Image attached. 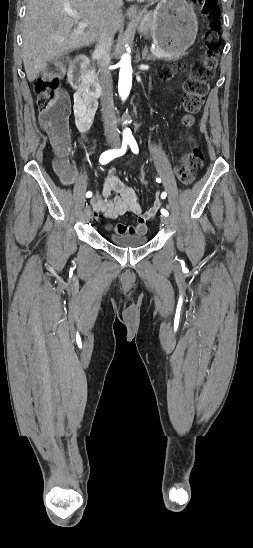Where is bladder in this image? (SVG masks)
<instances>
[{"mask_svg":"<svg viewBox=\"0 0 253 548\" xmlns=\"http://www.w3.org/2000/svg\"><path fill=\"white\" fill-rule=\"evenodd\" d=\"M147 236L142 234H122L114 233L110 236V241L120 247H141L147 243Z\"/></svg>","mask_w":253,"mask_h":548,"instance_id":"obj_1","label":"bladder"}]
</instances>
